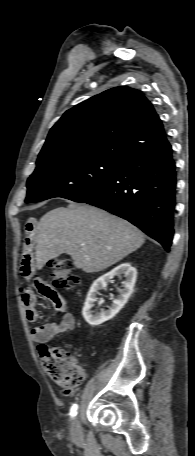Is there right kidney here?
Segmentation results:
<instances>
[{
  "label": "right kidney",
  "mask_w": 195,
  "mask_h": 456,
  "mask_svg": "<svg viewBox=\"0 0 195 456\" xmlns=\"http://www.w3.org/2000/svg\"><path fill=\"white\" fill-rule=\"evenodd\" d=\"M122 275L126 278V280L123 282V289L119 291V296L116 299H113V303L108 310L101 313H93L91 308L97 301L99 291L105 288L115 276L121 277ZM136 277L137 270L132 267L130 263H122L110 272L96 279L88 292L82 310V314L86 322L91 326H99L119 313L133 293Z\"/></svg>",
  "instance_id": "right-kidney-1"
}]
</instances>
